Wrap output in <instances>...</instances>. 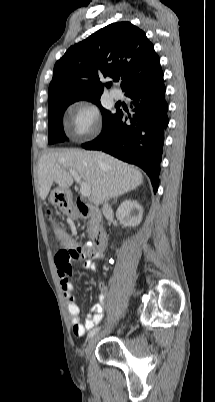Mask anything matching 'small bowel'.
Wrapping results in <instances>:
<instances>
[{
    "label": "small bowel",
    "instance_id": "c3829d8e",
    "mask_svg": "<svg viewBox=\"0 0 215 402\" xmlns=\"http://www.w3.org/2000/svg\"><path fill=\"white\" fill-rule=\"evenodd\" d=\"M92 247H93V245L91 242H88L83 246H78L76 244V247L74 250H62L61 249L55 255V264H56V267L58 270V276H59V280H60L62 294L67 303V310H68V314L70 316V320L72 323L73 333H74V335L79 336V337L83 336L87 331H89L91 329L93 330V328L102 321V319L104 317L103 311L105 309V299H106V296L108 293L107 286L104 283H100L98 300L93 305L89 306L90 310H92L94 313L88 314L85 321L82 322L80 319V316H79L80 308L74 299V295H73L74 285L70 280V276L73 273L72 263L79 261L85 254H87L92 249ZM61 251H76L77 257L73 260L68 261L67 263L66 262L62 263L58 259V254ZM97 255L99 256V254H97ZM67 265H71V267H72L71 271H66L64 269ZM85 266L87 269H90L92 271L97 270V266L92 260H87L85 262Z\"/></svg>",
    "mask_w": 215,
    "mask_h": 402
}]
</instances>
